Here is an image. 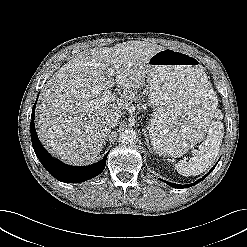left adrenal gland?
I'll list each match as a JSON object with an SVG mask.
<instances>
[{
	"instance_id": "left-adrenal-gland-1",
	"label": "left adrenal gland",
	"mask_w": 247,
	"mask_h": 247,
	"mask_svg": "<svg viewBox=\"0 0 247 247\" xmlns=\"http://www.w3.org/2000/svg\"><path fill=\"white\" fill-rule=\"evenodd\" d=\"M144 136H145V140H146V145H147V147L149 148V150H151V148H150V146H149V140H148L146 131H144Z\"/></svg>"
}]
</instances>
